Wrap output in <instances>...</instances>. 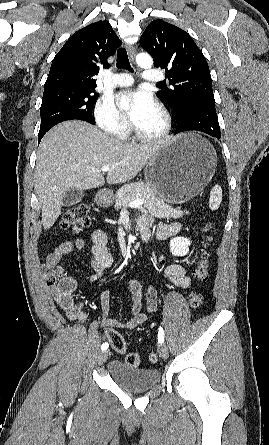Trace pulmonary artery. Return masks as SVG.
<instances>
[{
    "label": "pulmonary artery",
    "instance_id": "obj_1",
    "mask_svg": "<svg viewBox=\"0 0 269 445\" xmlns=\"http://www.w3.org/2000/svg\"><path fill=\"white\" fill-rule=\"evenodd\" d=\"M142 77L147 82H158L164 79L160 71L152 69L145 70ZM111 83L117 87L129 86L133 83V78L127 73H119L112 77Z\"/></svg>",
    "mask_w": 269,
    "mask_h": 445
}]
</instances>
